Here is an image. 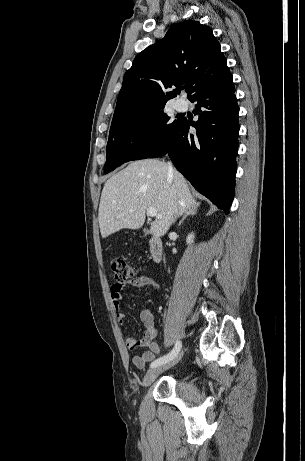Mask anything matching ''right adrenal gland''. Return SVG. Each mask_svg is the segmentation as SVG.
Masks as SVG:
<instances>
[{
  "label": "right adrenal gland",
  "instance_id": "1",
  "mask_svg": "<svg viewBox=\"0 0 305 461\" xmlns=\"http://www.w3.org/2000/svg\"><path fill=\"white\" fill-rule=\"evenodd\" d=\"M197 210H198V206H193L191 208L186 209L178 225L180 226L184 222V220H186L187 217L196 215Z\"/></svg>",
  "mask_w": 305,
  "mask_h": 461
}]
</instances>
